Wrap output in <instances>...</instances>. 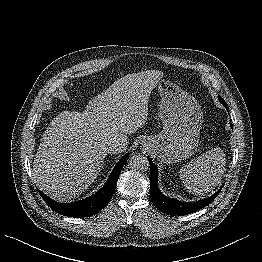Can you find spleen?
<instances>
[{"label":"spleen","mask_w":262,"mask_h":262,"mask_svg":"<svg viewBox=\"0 0 262 262\" xmlns=\"http://www.w3.org/2000/svg\"><path fill=\"white\" fill-rule=\"evenodd\" d=\"M225 154L213 148L180 169V179L192 194L204 195L216 187L225 171Z\"/></svg>","instance_id":"3e777b00"}]
</instances>
